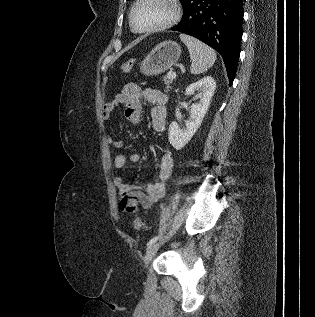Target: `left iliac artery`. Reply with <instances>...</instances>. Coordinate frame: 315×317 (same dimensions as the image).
Segmentation results:
<instances>
[{"instance_id":"obj_1","label":"left iliac artery","mask_w":315,"mask_h":317,"mask_svg":"<svg viewBox=\"0 0 315 317\" xmlns=\"http://www.w3.org/2000/svg\"><path fill=\"white\" fill-rule=\"evenodd\" d=\"M158 240V236H154L153 238H151L149 240V242L147 243V246H151L153 243H155Z\"/></svg>"}]
</instances>
